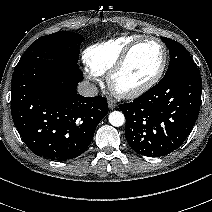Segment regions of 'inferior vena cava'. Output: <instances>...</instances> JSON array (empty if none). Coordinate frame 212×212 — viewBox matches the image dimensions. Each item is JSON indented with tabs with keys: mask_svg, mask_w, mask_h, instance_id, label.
I'll return each mask as SVG.
<instances>
[{
	"mask_svg": "<svg viewBox=\"0 0 212 212\" xmlns=\"http://www.w3.org/2000/svg\"><path fill=\"white\" fill-rule=\"evenodd\" d=\"M78 93L84 97H93L98 94V89L94 84L83 81L78 85Z\"/></svg>",
	"mask_w": 212,
	"mask_h": 212,
	"instance_id": "602c4592",
	"label": "inferior vena cava"
}]
</instances>
